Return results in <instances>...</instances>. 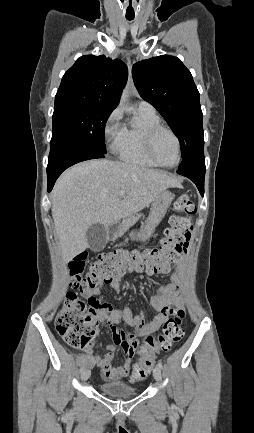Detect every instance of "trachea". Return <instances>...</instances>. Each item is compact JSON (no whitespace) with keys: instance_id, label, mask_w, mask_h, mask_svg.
Listing matches in <instances>:
<instances>
[{"instance_id":"obj_1","label":"trachea","mask_w":254,"mask_h":433,"mask_svg":"<svg viewBox=\"0 0 254 433\" xmlns=\"http://www.w3.org/2000/svg\"><path fill=\"white\" fill-rule=\"evenodd\" d=\"M127 20L131 21V20H133V18H127Z\"/></svg>"}]
</instances>
